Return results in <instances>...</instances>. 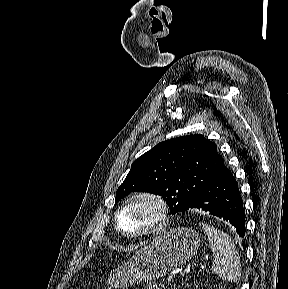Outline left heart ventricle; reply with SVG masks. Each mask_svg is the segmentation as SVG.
<instances>
[{"label": "left heart ventricle", "instance_id": "1", "mask_svg": "<svg viewBox=\"0 0 288 289\" xmlns=\"http://www.w3.org/2000/svg\"><path fill=\"white\" fill-rule=\"evenodd\" d=\"M156 215L157 211L152 203L138 200L123 210L120 215V225L126 232H138L153 223Z\"/></svg>", "mask_w": 288, "mask_h": 289}]
</instances>
